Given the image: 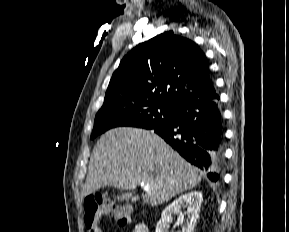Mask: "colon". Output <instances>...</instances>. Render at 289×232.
Here are the masks:
<instances>
[{"instance_id":"5ec220e1","label":"colon","mask_w":289,"mask_h":232,"mask_svg":"<svg viewBox=\"0 0 289 232\" xmlns=\"http://www.w3.org/2000/svg\"><path fill=\"white\" fill-rule=\"evenodd\" d=\"M101 214L113 216L119 225L129 222V210L125 207L115 206L101 195H91L84 200L83 223L85 232H102L99 226Z\"/></svg>"}]
</instances>
